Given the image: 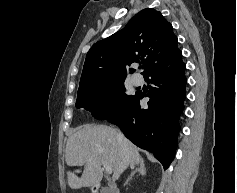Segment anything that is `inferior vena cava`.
<instances>
[{
  "instance_id": "1",
  "label": "inferior vena cava",
  "mask_w": 237,
  "mask_h": 193,
  "mask_svg": "<svg viewBox=\"0 0 237 193\" xmlns=\"http://www.w3.org/2000/svg\"><path fill=\"white\" fill-rule=\"evenodd\" d=\"M118 138L122 142V163H121V169L122 171L127 168L129 165V156H128V150L126 147L125 138L121 133H118Z\"/></svg>"
}]
</instances>
